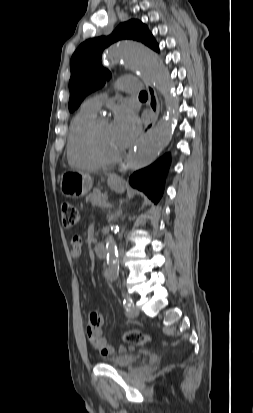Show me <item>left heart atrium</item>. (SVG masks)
I'll use <instances>...</instances> for the list:
<instances>
[{
  "instance_id": "obj_1",
  "label": "left heart atrium",
  "mask_w": 253,
  "mask_h": 413,
  "mask_svg": "<svg viewBox=\"0 0 253 413\" xmlns=\"http://www.w3.org/2000/svg\"><path fill=\"white\" fill-rule=\"evenodd\" d=\"M112 130L119 147H127L140 131V122L135 112L126 107L119 109Z\"/></svg>"
}]
</instances>
